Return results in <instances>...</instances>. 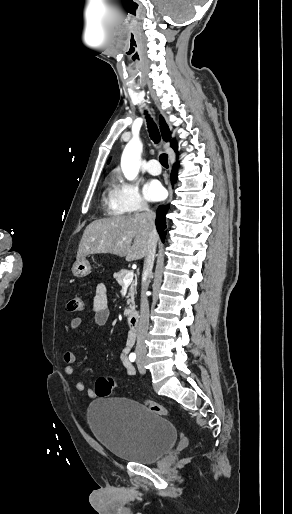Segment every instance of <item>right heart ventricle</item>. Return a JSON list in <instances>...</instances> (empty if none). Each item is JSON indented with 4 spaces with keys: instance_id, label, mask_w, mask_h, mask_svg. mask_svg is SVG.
Wrapping results in <instances>:
<instances>
[{
    "instance_id": "right-heart-ventricle-1",
    "label": "right heart ventricle",
    "mask_w": 292,
    "mask_h": 514,
    "mask_svg": "<svg viewBox=\"0 0 292 514\" xmlns=\"http://www.w3.org/2000/svg\"><path fill=\"white\" fill-rule=\"evenodd\" d=\"M102 203L105 213L108 216H118L123 213V210L116 203L113 190L110 187L102 193Z\"/></svg>"
}]
</instances>
